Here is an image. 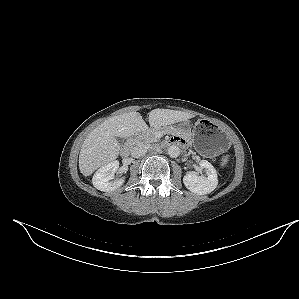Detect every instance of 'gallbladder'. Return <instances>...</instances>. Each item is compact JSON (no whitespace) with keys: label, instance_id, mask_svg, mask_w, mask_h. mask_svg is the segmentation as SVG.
Wrapping results in <instances>:
<instances>
[{"label":"gallbladder","instance_id":"bac80fb5","mask_svg":"<svg viewBox=\"0 0 299 299\" xmlns=\"http://www.w3.org/2000/svg\"><path fill=\"white\" fill-rule=\"evenodd\" d=\"M117 141L120 145H124L125 143V139L124 138H120V137H117Z\"/></svg>","mask_w":299,"mask_h":299}]
</instances>
